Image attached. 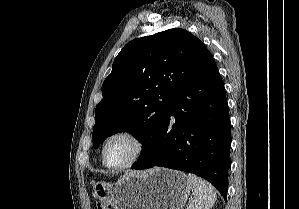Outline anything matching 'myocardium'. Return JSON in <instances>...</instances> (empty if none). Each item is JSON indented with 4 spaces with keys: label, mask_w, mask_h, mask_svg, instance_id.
Listing matches in <instances>:
<instances>
[{
    "label": "myocardium",
    "mask_w": 299,
    "mask_h": 209,
    "mask_svg": "<svg viewBox=\"0 0 299 209\" xmlns=\"http://www.w3.org/2000/svg\"><path fill=\"white\" fill-rule=\"evenodd\" d=\"M118 137H125V138H128L129 140H131L134 143L135 150H134L132 157L126 163H124L120 166H110L106 162V150H107L109 143L113 139L118 138ZM145 151H146V142L139 133H137L133 130H129V129L120 130V131H117V132L111 134L106 139V141L103 145L102 154H101L102 164L110 170H124V169L130 168L131 166L135 165L142 158Z\"/></svg>",
    "instance_id": "f54148a6"
}]
</instances>
